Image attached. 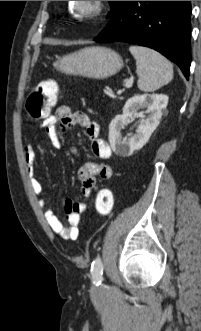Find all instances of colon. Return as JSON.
Here are the masks:
<instances>
[{
    "instance_id": "colon-1",
    "label": "colon",
    "mask_w": 201,
    "mask_h": 331,
    "mask_svg": "<svg viewBox=\"0 0 201 331\" xmlns=\"http://www.w3.org/2000/svg\"><path fill=\"white\" fill-rule=\"evenodd\" d=\"M57 84L48 80L40 84L34 89L26 100V113L34 120L45 119L51 113L57 99ZM114 200L113 195L108 189H101L96 196L95 208L97 213L106 217L113 210Z\"/></svg>"
}]
</instances>
